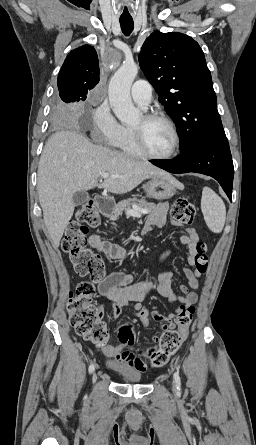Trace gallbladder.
Listing matches in <instances>:
<instances>
[{
  "label": "gallbladder",
  "mask_w": 256,
  "mask_h": 445,
  "mask_svg": "<svg viewBox=\"0 0 256 445\" xmlns=\"http://www.w3.org/2000/svg\"><path fill=\"white\" fill-rule=\"evenodd\" d=\"M73 202L75 204V206H79L84 204L85 202H87L89 200V195L87 192L80 190L77 191L74 195H73Z\"/></svg>",
  "instance_id": "gallbladder-1"
}]
</instances>
